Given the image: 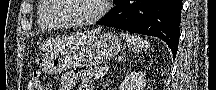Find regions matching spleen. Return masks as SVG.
<instances>
[{
	"label": "spleen",
	"mask_w": 216,
	"mask_h": 90,
	"mask_svg": "<svg viewBox=\"0 0 216 90\" xmlns=\"http://www.w3.org/2000/svg\"><path fill=\"white\" fill-rule=\"evenodd\" d=\"M121 40H124V42H127L129 48H131L132 52H135V54H138V52H142V50H148L150 48L149 42L147 40H143V38H139V36H136V34H120Z\"/></svg>",
	"instance_id": "3e777b00"
}]
</instances>
